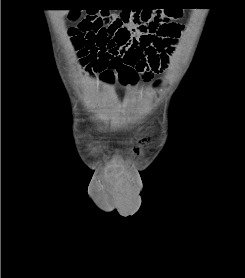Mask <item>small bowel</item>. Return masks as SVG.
Masks as SVG:
<instances>
[{
  "label": "small bowel",
  "instance_id": "obj_1",
  "mask_svg": "<svg viewBox=\"0 0 245 278\" xmlns=\"http://www.w3.org/2000/svg\"><path fill=\"white\" fill-rule=\"evenodd\" d=\"M181 11H178L180 15ZM114 18V15H110ZM176 17V16H173ZM180 30H184L183 25L178 24ZM80 48L83 49L87 43V33L79 34ZM98 50L103 49V57L91 58L88 54L81 53L83 57L82 66L86 69V74L90 81L98 80L104 84H114L119 81L125 86L135 83L139 76L148 78L151 74L163 71L168 65V58L171 51L163 54H149V47L137 45L120 47L113 39H108L104 45L95 43Z\"/></svg>",
  "mask_w": 245,
  "mask_h": 278
}]
</instances>
